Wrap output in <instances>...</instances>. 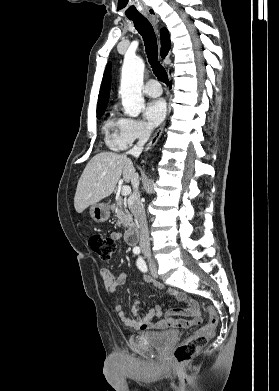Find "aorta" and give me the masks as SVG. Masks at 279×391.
Wrapping results in <instances>:
<instances>
[{
  "label": "aorta",
  "instance_id": "obj_1",
  "mask_svg": "<svg viewBox=\"0 0 279 391\" xmlns=\"http://www.w3.org/2000/svg\"><path fill=\"white\" fill-rule=\"evenodd\" d=\"M144 62L138 57H125L122 66L120 95L125 114L137 117L144 108L141 94L143 85Z\"/></svg>",
  "mask_w": 279,
  "mask_h": 391
}]
</instances>
